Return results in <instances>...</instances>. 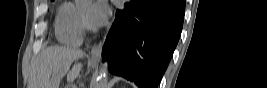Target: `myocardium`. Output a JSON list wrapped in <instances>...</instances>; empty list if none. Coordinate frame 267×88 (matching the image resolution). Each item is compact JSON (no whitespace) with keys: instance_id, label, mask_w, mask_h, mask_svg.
<instances>
[{"instance_id":"obj_1","label":"myocardium","mask_w":267,"mask_h":88,"mask_svg":"<svg viewBox=\"0 0 267 88\" xmlns=\"http://www.w3.org/2000/svg\"><path fill=\"white\" fill-rule=\"evenodd\" d=\"M80 19H81L83 25H84L86 28L91 29V28L88 26V24H87V22H86V20H85V17H84V15H83V12L80 13Z\"/></svg>"}]
</instances>
